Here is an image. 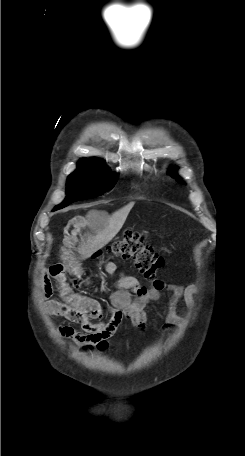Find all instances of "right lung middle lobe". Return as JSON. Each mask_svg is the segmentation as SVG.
Instances as JSON below:
<instances>
[{
    "mask_svg": "<svg viewBox=\"0 0 245 456\" xmlns=\"http://www.w3.org/2000/svg\"><path fill=\"white\" fill-rule=\"evenodd\" d=\"M117 182L104 165L78 166L67 179V196L56 210L87 198L97 197L111 190Z\"/></svg>",
    "mask_w": 245,
    "mask_h": 456,
    "instance_id": "obj_1",
    "label": "right lung middle lobe"
}]
</instances>
